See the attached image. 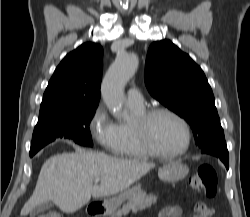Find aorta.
I'll return each mask as SVG.
<instances>
[{"mask_svg": "<svg viewBox=\"0 0 250 217\" xmlns=\"http://www.w3.org/2000/svg\"><path fill=\"white\" fill-rule=\"evenodd\" d=\"M138 63V58L134 54H119L103 78L101 85L103 101L117 118L128 120V116L123 114L124 87L137 70Z\"/></svg>", "mask_w": 250, "mask_h": 217, "instance_id": "obj_1", "label": "aorta"}]
</instances>
